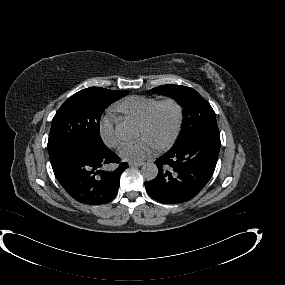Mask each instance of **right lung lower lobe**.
I'll return each mask as SVG.
<instances>
[{
	"instance_id": "98d812e1",
	"label": "right lung lower lobe",
	"mask_w": 285,
	"mask_h": 285,
	"mask_svg": "<svg viewBox=\"0 0 285 285\" xmlns=\"http://www.w3.org/2000/svg\"><path fill=\"white\" fill-rule=\"evenodd\" d=\"M60 184L77 201L99 205L111 201L117 194L120 175L128 167L120 163L112 172L101 170L104 164L119 163L120 158L110 149L101 154L69 147L50 158Z\"/></svg>"
}]
</instances>
